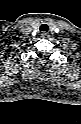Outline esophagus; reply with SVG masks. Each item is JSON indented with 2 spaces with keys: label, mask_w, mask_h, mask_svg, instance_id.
<instances>
[{
  "label": "esophagus",
  "mask_w": 81,
  "mask_h": 124,
  "mask_svg": "<svg viewBox=\"0 0 81 124\" xmlns=\"http://www.w3.org/2000/svg\"><path fill=\"white\" fill-rule=\"evenodd\" d=\"M41 37H42V38L49 37V34H48V33H46V32H43V33H41Z\"/></svg>",
  "instance_id": "34e87169"
}]
</instances>
